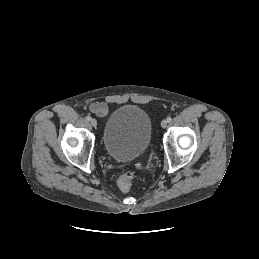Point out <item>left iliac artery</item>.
<instances>
[{"label": "left iliac artery", "instance_id": "44dca946", "mask_svg": "<svg viewBox=\"0 0 259 259\" xmlns=\"http://www.w3.org/2000/svg\"><path fill=\"white\" fill-rule=\"evenodd\" d=\"M172 118L171 117H167V122H171Z\"/></svg>", "mask_w": 259, "mask_h": 259}]
</instances>
